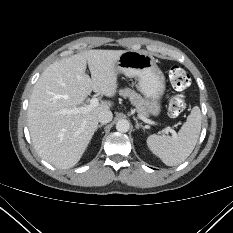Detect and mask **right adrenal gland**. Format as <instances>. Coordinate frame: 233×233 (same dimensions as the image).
I'll use <instances>...</instances> for the list:
<instances>
[{"mask_svg": "<svg viewBox=\"0 0 233 233\" xmlns=\"http://www.w3.org/2000/svg\"><path fill=\"white\" fill-rule=\"evenodd\" d=\"M102 126H104V124L98 125V126H97V129H98V128H101ZM97 129H96V131H97Z\"/></svg>", "mask_w": 233, "mask_h": 233, "instance_id": "2a0ac1e0", "label": "right adrenal gland"}]
</instances>
